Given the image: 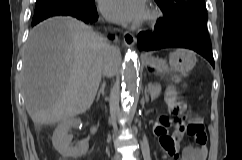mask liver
<instances>
[{"label": "liver", "mask_w": 242, "mask_h": 160, "mask_svg": "<svg viewBox=\"0 0 242 160\" xmlns=\"http://www.w3.org/2000/svg\"><path fill=\"white\" fill-rule=\"evenodd\" d=\"M105 42L72 17H54L31 30L23 56L22 87L34 124L52 125L91 107L101 81L98 68L107 63Z\"/></svg>", "instance_id": "1"}]
</instances>
